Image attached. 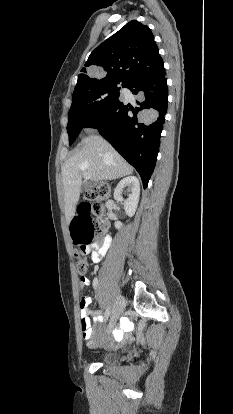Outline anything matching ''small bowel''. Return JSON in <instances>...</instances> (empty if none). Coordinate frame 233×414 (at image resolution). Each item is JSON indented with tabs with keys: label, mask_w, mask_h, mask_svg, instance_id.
I'll list each match as a JSON object with an SVG mask.
<instances>
[{
	"label": "small bowel",
	"mask_w": 233,
	"mask_h": 414,
	"mask_svg": "<svg viewBox=\"0 0 233 414\" xmlns=\"http://www.w3.org/2000/svg\"><path fill=\"white\" fill-rule=\"evenodd\" d=\"M109 247V238L106 235L102 240L96 241L92 245L86 247L84 250L85 255H90L93 262L98 263L101 261L103 256L107 253ZM79 283L83 284L84 288H89L92 286V278L89 277L85 272L79 273ZM92 303V298L89 296H84L80 301V314H81V328L83 333V338L89 342L90 345L94 343V337L96 331L92 328V318L90 305ZM104 320L103 316H96L93 318L95 323H101ZM133 328V323L129 319H125L121 322L120 327L113 331V339L116 343H121L125 338L127 333H129Z\"/></svg>",
	"instance_id": "c3829d8e"
}]
</instances>
